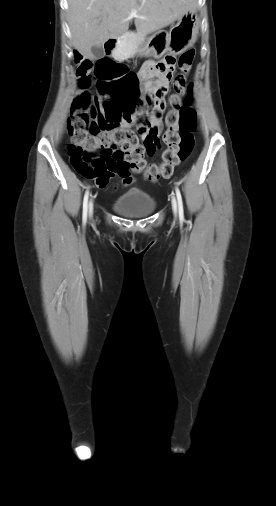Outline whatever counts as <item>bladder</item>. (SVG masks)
Instances as JSON below:
<instances>
[{"mask_svg":"<svg viewBox=\"0 0 276 506\" xmlns=\"http://www.w3.org/2000/svg\"><path fill=\"white\" fill-rule=\"evenodd\" d=\"M153 197L142 191L126 193L112 202V208L119 214L128 217H144L156 209Z\"/></svg>","mask_w":276,"mask_h":506,"instance_id":"bladder-1","label":"bladder"}]
</instances>
